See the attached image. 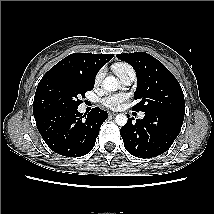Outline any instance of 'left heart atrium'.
<instances>
[{
  "label": "left heart atrium",
  "mask_w": 214,
  "mask_h": 214,
  "mask_svg": "<svg viewBox=\"0 0 214 214\" xmlns=\"http://www.w3.org/2000/svg\"><path fill=\"white\" fill-rule=\"evenodd\" d=\"M127 98L125 93L109 94L102 99V104L110 109H118Z\"/></svg>",
  "instance_id": "obj_1"
}]
</instances>
